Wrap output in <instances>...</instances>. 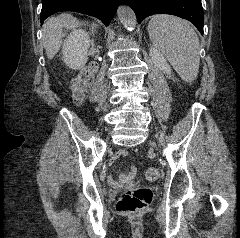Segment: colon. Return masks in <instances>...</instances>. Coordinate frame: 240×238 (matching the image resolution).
Instances as JSON below:
<instances>
[{
	"label": "colon",
	"instance_id": "1",
	"mask_svg": "<svg viewBox=\"0 0 240 238\" xmlns=\"http://www.w3.org/2000/svg\"><path fill=\"white\" fill-rule=\"evenodd\" d=\"M96 69L93 65L81 69L71 82V97L76 104H81L94 79ZM160 172L156 167H150L146 171V178L155 180ZM152 201V192L147 188L129 190L119 198L116 208L125 214H136L147 208Z\"/></svg>",
	"mask_w": 240,
	"mask_h": 238
}]
</instances>
